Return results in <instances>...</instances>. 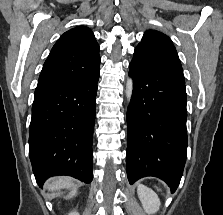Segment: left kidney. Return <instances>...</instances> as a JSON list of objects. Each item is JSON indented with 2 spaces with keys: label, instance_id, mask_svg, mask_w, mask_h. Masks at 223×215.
I'll use <instances>...</instances> for the list:
<instances>
[{
  "label": "left kidney",
  "instance_id": "obj_1",
  "mask_svg": "<svg viewBox=\"0 0 223 215\" xmlns=\"http://www.w3.org/2000/svg\"><path fill=\"white\" fill-rule=\"evenodd\" d=\"M137 193L146 213H155V211H158L161 203L157 193L153 189H150L147 185H143V183H139Z\"/></svg>",
  "mask_w": 223,
  "mask_h": 215
}]
</instances>
